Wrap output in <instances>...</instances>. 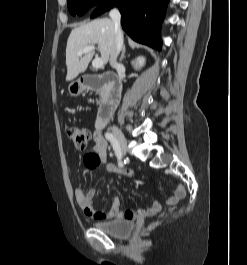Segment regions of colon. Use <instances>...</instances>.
<instances>
[{"label":"colon","mask_w":247,"mask_h":265,"mask_svg":"<svg viewBox=\"0 0 247 265\" xmlns=\"http://www.w3.org/2000/svg\"><path fill=\"white\" fill-rule=\"evenodd\" d=\"M67 134L76 149L83 150L86 148L90 139V131L85 127L71 126Z\"/></svg>","instance_id":"obj_1"}]
</instances>
